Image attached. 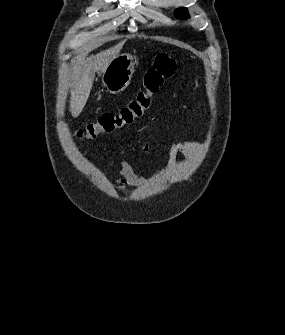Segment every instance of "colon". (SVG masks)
I'll use <instances>...</instances> for the list:
<instances>
[{
    "label": "colon",
    "mask_w": 285,
    "mask_h": 335,
    "mask_svg": "<svg viewBox=\"0 0 285 335\" xmlns=\"http://www.w3.org/2000/svg\"><path fill=\"white\" fill-rule=\"evenodd\" d=\"M177 68L176 60L167 53H159L143 78V88L134 98L116 112L105 113L97 121L89 123L85 129L77 132L81 140L95 139L103 133H110L133 123L143 116L151 105L153 96L166 80L170 79Z\"/></svg>",
    "instance_id": "5ec220e1"
}]
</instances>
